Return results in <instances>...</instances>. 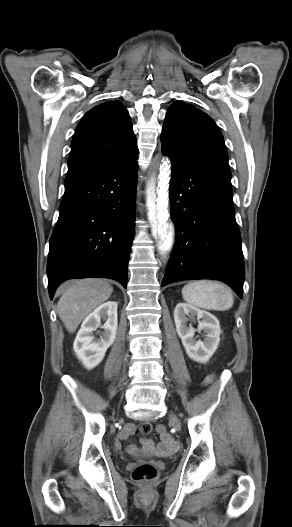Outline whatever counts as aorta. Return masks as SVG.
<instances>
[{
  "instance_id": "aorta-1",
  "label": "aorta",
  "mask_w": 292,
  "mask_h": 527,
  "mask_svg": "<svg viewBox=\"0 0 292 527\" xmlns=\"http://www.w3.org/2000/svg\"><path fill=\"white\" fill-rule=\"evenodd\" d=\"M170 166L167 162L160 166L157 183H154L157 168L152 164L148 172L147 198L149 201L156 198L157 202V224L155 232L159 240L161 253H166L172 247V233L168 227V186L170 180Z\"/></svg>"
}]
</instances>
